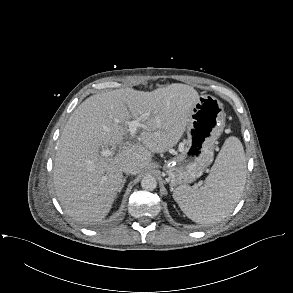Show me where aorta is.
Masks as SVG:
<instances>
[{
  "label": "aorta",
  "instance_id": "obj_1",
  "mask_svg": "<svg viewBox=\"0 0 293 293\" xmlns=\"http://www.w3.org/2000/svg\"><path fill=\"white\" fill-rule=\"evenodd\" d=\"M141 187L145 190L152 191L157 187V181L154 176L146 174L141 180Z\"/></svg>",
  "mask_w": 293,
  "mask_h": 293
}]
</instances>
